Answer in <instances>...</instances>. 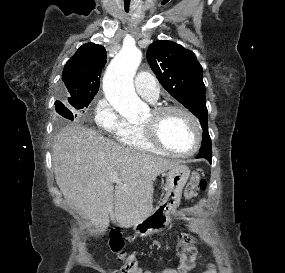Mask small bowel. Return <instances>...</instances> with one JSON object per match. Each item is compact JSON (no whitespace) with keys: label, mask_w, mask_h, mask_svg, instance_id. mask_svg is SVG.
<instances>
[{"label":"small bowel","mask_w":285,"mask_h":273,"mask_svg":"<svg viewBox=\"0 0 285 273\" xmlns=\"http://www.w3.org/2000/svg\"><path fill=\"white\" fill-rule=\"evenodd\" d=\"M145 273H177V272L173 268L163 267L159 271L156 272L146 271ZM203 273H216V269L214 268L213 265H209L208 269Z\"/></svg>","instance_id":"obj_1"}]
</instances>
